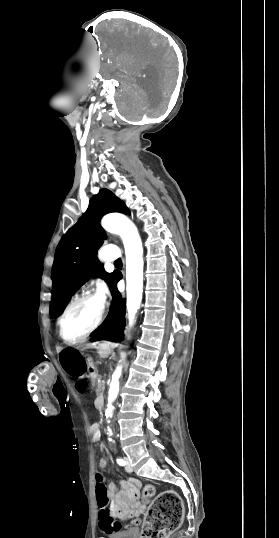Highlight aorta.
I'll use <instances>...</instances> for the list:
<instances>
[{"mask_svg": "<svg viewBox=\"0 0 279 538\" xmlns=\"http://www.w3.org/2000/svg\"><path fill=\"white\" fill-rule=\"evenodd\" d=\"M102 227L110 233L120 235L123 240L126 254V306L128 311L129 327L135 323V316L140 308L143 292V248L136 226L124 215L109 214L102 219ZM122 366H117L112 375L109 387L106 418H111L113 401L119 391V378ZM109 422V420H108ZM109 435H112L108 427Z\"/></svg>", "mask_w": 279, "mask_h": 538, "instance_id": "aorta-1", "label": "aorta"}]
</instances>
